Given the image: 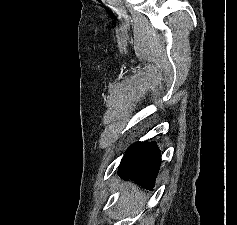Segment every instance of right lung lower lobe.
<instances>
[{
  "label": "right lung lower lobe",
  "mask_w": 237,
  "mask_h": 225,
  "mask_svg": "<svg viewBox=\"0 0 237 225\" xmlns=\"http://www.w3.org/2000/svg\"><path fill=\"white\" fill-rule=\"evenodd\" d=\"M160 151L155 142H138L129 147L123 157L118 175L123 180H132L141 187L151 190L160 167Z\"/></svg>",
  "instance_id": "1"
}]
</instances>
